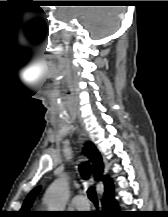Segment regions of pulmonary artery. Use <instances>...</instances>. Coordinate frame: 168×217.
Returning <instances> with one entry per match:
<instances>
[{
  "label": "pulmonary artery",
  "instance_id": "pulmonary-artery-1",
  "mask_svg": "<svg viewBox=\"0 0 168 217\" xmlns=\"http://www.w3.org/2000/svg\"><path fill=\"white\" fill-rule=\"evenodd\" d=\"M72 203L77 210H85L89 207L86 197L83 194H76Z\"/></svg>",
  "mask_w": 168,
  "mask_h": 217
}]
</instances>
